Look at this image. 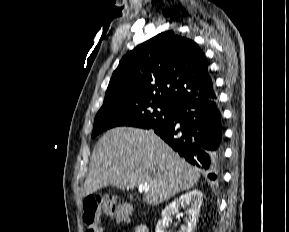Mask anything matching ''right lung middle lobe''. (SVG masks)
Wrapping results in <instances>:
<instances>
[{"instance_id": "obj_1", "label": "right lung middle lobe", "mask_w": 289, "mask_h": 232, "mask_svg": "<svg viewBox=\"0 0 289 232\" xmlns=\"http://www.w3.org/2000/svg\"><path fill=\"white\" fill-rule=\"evenodd\" d=\"M175 109L139 97L105 99L95 117L92 137L116 126L151 129L170 123L174 119Z\"/></svg>"}]
</instances>
